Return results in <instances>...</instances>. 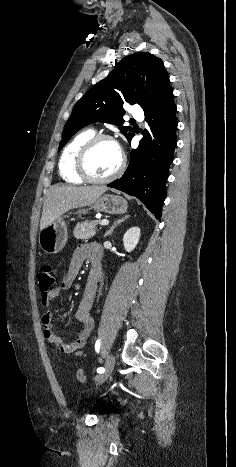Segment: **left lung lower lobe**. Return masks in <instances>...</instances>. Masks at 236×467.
Instances as JSON below:
<instances>
[{
  "label": "left lung lower lobe",
  "mask_w": 236,
  "mask_h": 467,
  "mask_svg": "<svg viewBox=\"0 0 236 467\" xmlns=\"http://www.w3.org/2000/svg\"><path fill=\"white\" fill-rule=\"evenodd\" d=\"M145 119L151 131L142 133L144 137L138 148L131 151L124 175L107 186L137 197L160 219L168 168L177 143L176 105L171 87L145 112Z\"/></svg>",
  "instance_id": "0a47b994"
}]
</instances>
